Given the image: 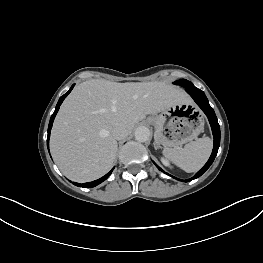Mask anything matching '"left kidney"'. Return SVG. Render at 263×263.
Masks as SVG:
<instances>
[{"mask_svg":"<svg viewBox=\"0 0 263 263\" xmlns=\"http://www.w3.org/2000/svg\"><path fill=\"white\" fill-rule=\"evenodd\" d=\"M160 160H161V162H162V164H163L164 166L169 167V168H172V166L170 165V162H169L166 158L161 157Z\"/></svg>","mask_w":263,"mask_h":263,"instance_id":"obj_1","label":"left kidney"}]
</instances>
